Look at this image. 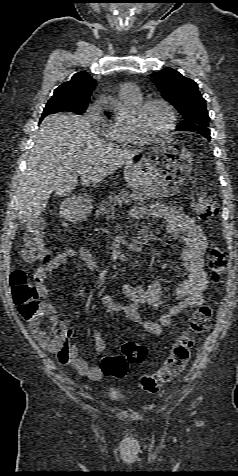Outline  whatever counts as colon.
Wrapping results in <instances>:
<instances>
[{
    "mask_svg": "<svg viewBox=\"0 0 238 476\" xmlns=\"http://www.w3.org/2000/svg\"><path fill=\"white\" fill-rule=\"evenodd\" d=\"M193 209L200 220H208L217 214L216 202L202 189L194 191ZM45 229L39 221L33 222L24 240L22 257L27 262L47 261L50 250L45 241ZM228 262L227 250L211 243L207 252V267L213 282L220 280ZM12 296L22 318L28 323L37 340L50 352L62 355L68 348L71 330L65 325H53L46 329L45 324L51 316V307L39 300L36 287L24 271H14L10 277ZM211 309L199 306L191 315L190 327L195 333H204L211 328ZM193 347L189 333L181 334L173 343L163 364L155 371L138 379L141 390L155 393L165 384L178 377L186 368ZM147 356L146 348L134 341L126 342L121 355H104L101 363L105 375L121 378L127 373L128 364H142Z\"/></svg>",
    "mask_w": 238,
    "mask_h": 476,
    "instance_id": "obj_1",
    "label": "colon"
}]
</instances>
